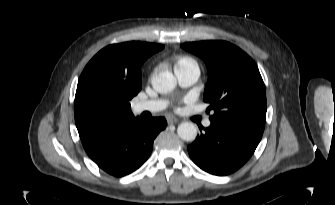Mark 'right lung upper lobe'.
Listing matches in <instances>:
<instances>
[{
  "mask_svg": "<svg viewBox=\"0 0 335 205\" xmlns=\"http://www.w3.org/2000/svg\"><path fill=\"white\" fill-rule=\"evenodd\" d=\"M163 45L147 42L113 44L84 68L75 95V123L81 140L110 132L135 118L129 101L141 90V66Z\"/></svg>",
  "mask_w": 335,
  "mask_h": 205,
  "instance_id": "cb5924a9",
  "label": "right lung upper lobe"
}]
</instances>
